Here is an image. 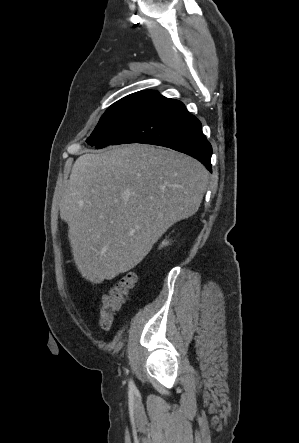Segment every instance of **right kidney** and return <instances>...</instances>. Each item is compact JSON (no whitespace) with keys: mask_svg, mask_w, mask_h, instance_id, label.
<instances>
[{"mask_svg":"<svg viewBox=\"0 0 299 443\" xmlns=\"http://www.w3.org/2000/svg\"><path fill=\"white\" fill-rule=\"evenodd\" d=\"M168 244H169V242H168L167 240H164V241L162 242V244H161L160 247L166 246V245H168Z\"/></svg>","mask_w":299,"mask_h":443,"instance_id":"1","label":"right kidney"}]
</instances>
